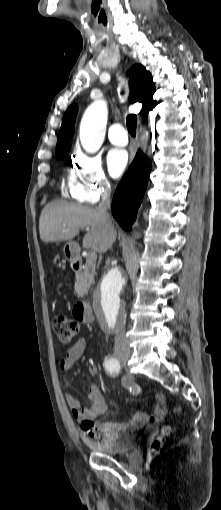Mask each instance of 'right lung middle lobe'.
<instances>
[{
  "label": "right lung middle lobe",
  "instance_id": "obj_1",
  "mask_svg": "<svg viewBox=\"0 0 221 510\" xmlns=\"http://www.w3.org/2000/svg\"><path fill=\"white\" fill-rule=\"evenodd\" d=\"M68 152H69V149L65 150V151H63L61 153L56 154V156H57V158L61 159V158H64L67 155Z\"/></svg>",
  "mask_w": 221,
  "mask_h": 510
}]
</instances>
